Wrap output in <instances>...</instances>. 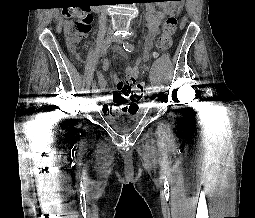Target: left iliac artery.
<instances>
[{"instance_id":"left-iliac-artery-1","label":"left iliac artery","mask_w":255,"mask_h":218,"mask_svg":"<svg viewBox=\"0 0 255 218\" xmlns=\"http://www.w3.org/2000/svg\"><path fill=\"white\" fill-rule=\"evenodd\" d=\"M123 47H124V49H125L126 51H128V52H132V51L134 50V46H133L131 43H129L128 41H125V42L123 43ZM151 91H152V87H151V86H148V87L146 88V92L151 93Z\"/></svg>"}]
</instances>
